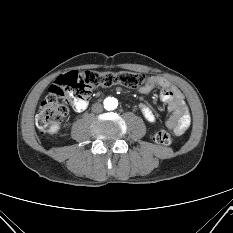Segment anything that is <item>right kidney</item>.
Returning <instances> with one entry per match:
<instances>
[{
	"instance_id": "1",
	"label": "right kidney",
	"mask_w": 233,
	"mask_h": 233,
	"mask_svg": "<svg viewBox=\"0 0 233 233\" xmlns=\"http://www.w3.org/2000/svg\"><path fill=\"white\" fill-rule=\"evenodd\" d=\"M59 129H60V125L59 124H53L49 128L48 132H49V134L53 135V134L57 133Z\"/></svg>"
}]
</instances>
